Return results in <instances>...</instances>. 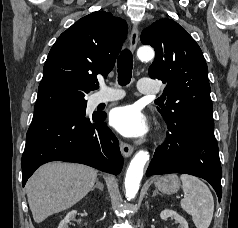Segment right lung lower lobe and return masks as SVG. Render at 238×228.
<instances>
[{
	"label": "right lung lower lobe",
	"mask_w": 238,
	"mask_h": 228,
	"mask_svg": "<svg viewBox=\"0 0 238 228\" xmlns=\"http://www.w3.org/2000/svg\"><path fill=\"white\" fill-rule=\"evenodd\" d=\"M105 117L99 113L87 118L73 110L34 115L21 160L22 185L40 165L57 160L119 174L123 158Z\"/></svg>",
	"instance_id": "obj_1"
}]
</instances>
